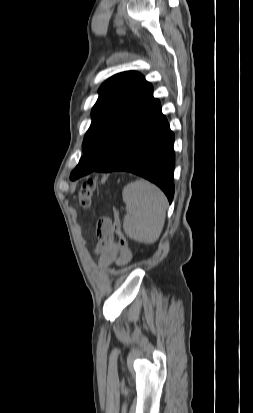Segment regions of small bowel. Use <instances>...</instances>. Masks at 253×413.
<instances>
[{
	"mask_svg": "<svg viewBox=\"0 0 253 413\" xmlns=\"http://www.w3.org/2000/svg\"><path fill=\"white\" fill-rule=\"evenodd\" d=\"M96 234L98 242L95 250L99 254L101 267H107L113 263L125 265L131 260L130 249L122 248L114 241L113 227L109 218L105 217L98 221Z\"/></svg>",
	"mask_w": 253,
	"mask_h": 413,
	"instance_id": "small-bowel-1",
	"label": "small bowel"
}]
</instances>
